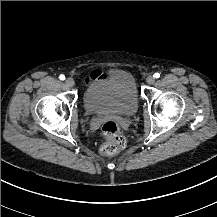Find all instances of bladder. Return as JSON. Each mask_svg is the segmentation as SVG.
Wrapping results in <instances>:
<instances>
[{
    "instance_id": "31cf9c89",
    "label": "bladder",
    "mask_w": 217,
    "mask_h": 217,
    "mask_svg": "<svg viewBox=\"0 0 217 217\" xmlns=\"http://www.w3.org/2000/svg\"><path fill=\"white\" fill-rule=\"evenodd\" d=\"M84 102L91 114L129 116L136 112L138 94L132 75L112 72L91 87H86Z\"/></svg>"
}]
</instances>
